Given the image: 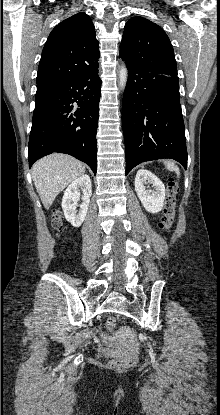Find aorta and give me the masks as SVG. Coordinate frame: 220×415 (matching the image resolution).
<instances>
[{
  "label": "aorta",
  "mask_w": 220,
  "mask_h": 415,
  "mask_svg": "<svg viewBox=\"0 0 220 415\" xmlns=\"http://www.w3.org/2000/svg\"><path fill=\"white\" fill-rule=\"evenodd\" d=\"M118 83H119V87L124 90L127 84V79H128V70L126 68V66L122 65L119 69L118 72Z\"/></svg>",
  "instance_id": "aorta-1"
}]
</instances>
